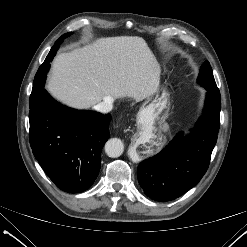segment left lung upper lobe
<instances>
[{
  "mask_svg": "<svg viewBox=\"0 0 247 247\" xmlns=\"http://www.w3.org/2000/svg\"><path fill=\"white\" fill-rule=\"evenodd\" d=\"M198 82L203 87H205L206 90L211 91L215 94H220L219 89L214 80L212 68L208 61H205L200 68Z\"/></svg>",
  "mask_w": 247,
  "mask_h": 247,
  "instance_id": "1",
  "label": "left lung upper lobe"
}]
</instances>
